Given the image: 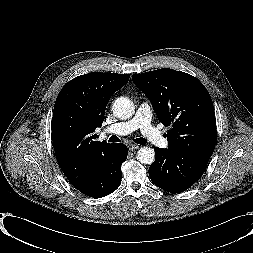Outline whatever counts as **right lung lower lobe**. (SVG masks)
Instances as JSON below:
<instances>
[{"instance_id":"1","label":"right lung lower lobe","mask_w":253,"mask_h":253,"mask_svg":"<svg viewBox=\"0 0 253 253\" xmlns=\"http://www.w3.org/2000/svg\"><path fill=\"white\" fill-rule=\"evenodd\" d=\"M127 154L126 145L113 144L108 155L92 171L88 181L76 189L93 198H101L111 194L121 183V165L127 159Z\"/></svg>"}]
</instances>
